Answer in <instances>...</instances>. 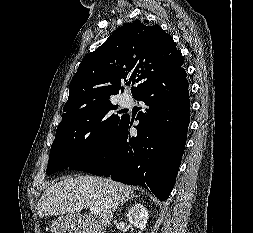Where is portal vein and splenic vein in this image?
<instances>
[{
    "label": "portal vein and splenic vein",
    "instance_id": "portal-vein-and-splenic-vein-1",
    "mask_svg": "<svg viewBox=\"0 0 253 233\" xmlns=\"http://www.w3.org/2000/svg\"><path fill=\"white\" fill-rule=\"evenodd\" d=\"M90 212H91V214H95V215H96V214H97V215L99 214V210H98V208H96V207H91V208H90Z\"/></svg>",
    "mask_w": 253,
    "mask_h": 233
}]
</instances>
